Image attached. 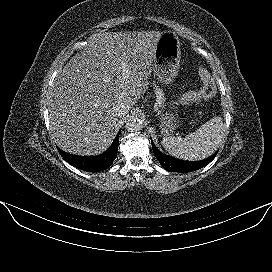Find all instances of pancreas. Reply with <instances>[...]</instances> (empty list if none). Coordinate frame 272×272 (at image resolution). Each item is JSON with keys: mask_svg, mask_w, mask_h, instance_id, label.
<instances>
[{"mask_svg": "<svg viewBox=\"0 0 272 272\" xmlns=\"http://www.w3.org/2000/svg\"><path fill=\"white\" fill-rule=\"evenodd\" d=\"M154 91H155V94L157 97L158 106L164 107L165 98H164V93H163L162 89H160L159 86H155Z\"/></svg>", "mask_w": 272, "mask_h": 272, "instance_id": "1", "label": "pancreas"}]
</instances>
